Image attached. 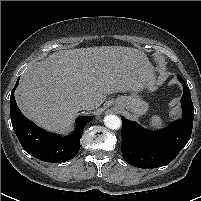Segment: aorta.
<instances>
[{
    "label": "aorta",
    "mask_w": 201,
    "mask_h": 201,
    "mask_svg": "<svg viewBox=\"0 0 201 201\" xmlns=\"http://www.w3.org/2000/svg\"><path fill=\"white\" fill-rule=\"evenodd\" d=\"M104 124L109 129L117 130L121 126V119L116 115H106L104 117Z\"/></svg>",
    "instance_id": "obj_1"
}]
</instances>
